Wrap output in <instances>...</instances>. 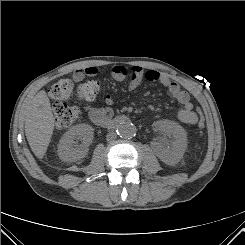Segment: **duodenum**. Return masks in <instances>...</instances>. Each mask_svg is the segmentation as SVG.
<instances>
[{
  "mask_svg": "<svg viewBox=\"0 0 245 245\" xmlns=\"http://www.w3.org/2000/svg\"><path fill=\"white\" fill-rule=\"evenodd\" d=\"M128 118L126 116H119L114 119L104 120L99 123V126H102L104 128L108 129H114L118 127L120 124L126 122Z\"/></svg>",
  "mask_w": 245,
  "mask_h": 245,
  "instance_id": "1",
  "label": "duodenum"
}]
</instances>
